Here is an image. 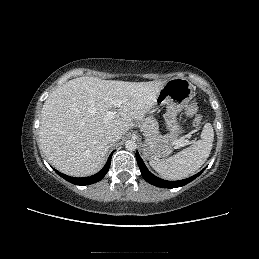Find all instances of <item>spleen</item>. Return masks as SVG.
I'll return each instance as SVG.
<instances>
[{"label":"spleen","instance_id":"obj_1","mask_svg":"<svg viewBox=\"0 0 259 259\" xmlns=\"http://www.w3.org/2000/svg\"><path fill=\"white\" fill-rule=\"evenodd\" d=\"M214 131L206 123L201 139L179 153L162 160H150L151 167L164 179L181 180L195 173L208 159L212 150Z\"/></svg>","mask_w":259,"mask_h":259}]
</instances>
